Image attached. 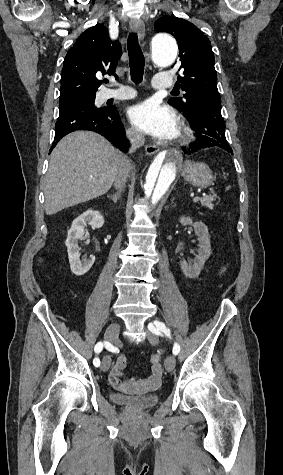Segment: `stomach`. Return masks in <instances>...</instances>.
Returning a JSON list of instances; mask_svg holds the SVG:
<instances>
[{"label": "stomach", "mask_w": 283, "mask_h": 475, "mask_svg": "<svg viewBox=\"0 0 283 475\" xmlns=\"http://www.w3.org/2000/svg\"><path fill=\"white\" fill-rule=\"evenodd\" d=\"M182 176L185 182H190L197 188H208L214 182L213 174L204 162H185Z\"/></svg>", "instance_id": "obj_1"}]
</instances>
